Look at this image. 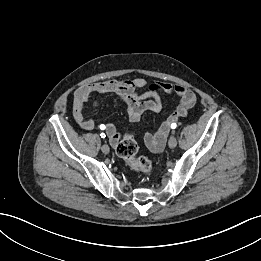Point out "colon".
I'll return each mask as SVG.
<instances>
[{"label":"colon","instance_id":"1","mask_svg":"<svg viewBox=\"0 0 261 261\" xmlns=\"http://www.w3.org/2000/svg\"><path fill=\"white\" fill-rule=\"evenodd\" d=\"M138 145L133 133H127L116 145V152L134 171L149 175L152 172L151 161L137 156Z\"/></svg>","mask_w":261,"mask_h":261}]
</instances>
